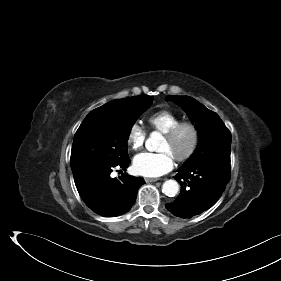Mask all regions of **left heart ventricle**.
Wrapping results in <instances>:
<instances>
[{"label": "left heart ventricle", "instance_id": "obj_1", "mask_svg": "<svg viewBox=\"0 0 281 281\" xmlns=\"http://www.w3.org/2000/svg\"><path fill=\"white\" fill-rule=\"evenodd\" d=\"M191 142V132L185 129L173 141H169L164 137L160 146V151H168L175 158L179 155L184 154L190 147Z\"/></svg>", "mask_w": 281, "mask_h": 281}]
</instances>
